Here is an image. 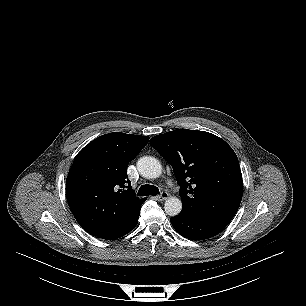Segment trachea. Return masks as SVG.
I'll use <instances>...</instances> for the list:
<instances>
[{
  "instance_id": "1",
  "label": "trachea",
  "mask_w": 306,
  "mask_h": 306,
  "mask_svg": "<svg viewBox=\"0 0 306 306\" xmlns=\"http://www.w3.org/2000/svg\"><path fill=\"white\" fill-rule=\"evenodd\" d=\"M158 194H159V189L156 186L149 184L142 185L137 193L138 196H148V195H158Z\"/></svg>"
}]
</instances>
